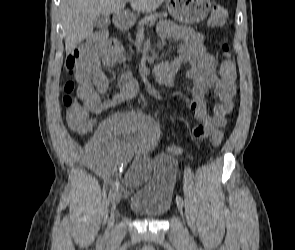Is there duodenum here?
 Masks as SVG:
<instances>
[{
    "label": "duodenum",
    "mask_w": 295,
    "mask_h": 250,
    "mask_svg": "<svg viewBox=\"0 0 295 250\" xmlns=\"http://www.w3.org/2000/svg\"><path fill=\"white\" fill-rule=\"evenodd\" d=\"M129 15L126 11H121L114 16V23L116 28L123 29V27L128 23Z\"/></svg>",
    "instance_id": "duodenum-1"
}]
</instances>
